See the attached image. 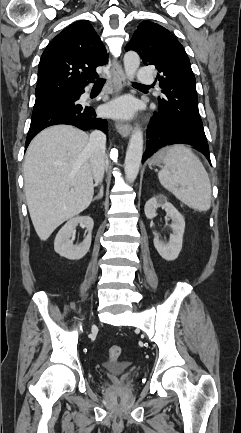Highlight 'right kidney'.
<instances>
[{
    "label": "right kidney",
    "instance_id": "1",
    "mask_svg": "<svg viewBox=\"0 0 241 433\" xmlns=\"http://www.w3.org/2000/svg\"><path fill=\"white\" fill-rule=\"evenodd\" d=\"M78 224L87 228L88 234L84 238L83 242L79 245H74L70 240L72 237L76 226ZM94 226V221L89 216H77L69 221L61 228V230L56 235L54 241V250L57 254L70 260H79L83 258L89 251L91 240H92V229Z\"/></svg>",
    "mask_w": 241,
    "mask_h": 433
}]
</instances>
